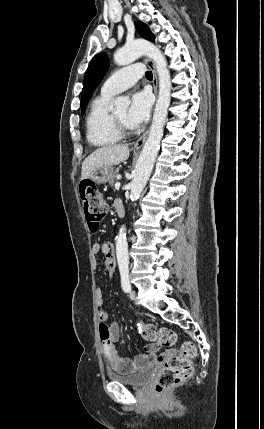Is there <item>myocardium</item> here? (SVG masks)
Returning <instances> with one entry per match:
<instances>
[{"instance_id": "1", "label": "myocardium", "mask_w": 264, "mask_h": 429, "mask_svg": "<svg viewBox=\"0 0 264 429\" xmlns=\"http://www.w3.org/2000/svg\"><path fill=\"white\" fill-rule=\"evenodd\" d=\"M111 119L114 129L120 137H127L132 134V128L120 121L114 113H111Z\"/></svg>"}]
</instances>
